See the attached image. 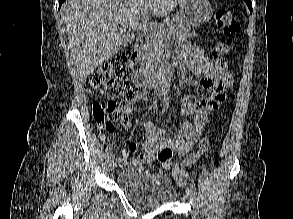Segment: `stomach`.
<instances>
[{"instance_id":"stomach-1","label":"stomach","mask_w":293,"mask_h":219,"mask_svg":"<svg viewBox=\"0 0 293 219\" xmlns=\"http://www.w3.org/2000/svg\"><path fill=\"white\" fill-rule=\"evenodd\" d=\"M213 12V7L208 0H184L179 9L180 17L193 27L209 22Z\"/></svg>"}]
</instances>
